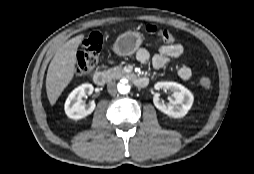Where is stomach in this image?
<instances>
[{
	"label": "stomach",
	"instance_id": "0dacf381",
	"mask_svg": "<svg viewBox=\"0 0 254 174\" xmlns=\"http://www.w3.org/2000/svg\"><path fill=\"white\" fill-rule=\"evenodd\" d=\"M144 37L139 32L128 31L119 35L113 44V51L119 56H130L142 44Z\"/></svg>",
	"mask_w": 254,
	"mask_h": 174
}]
</instances>
